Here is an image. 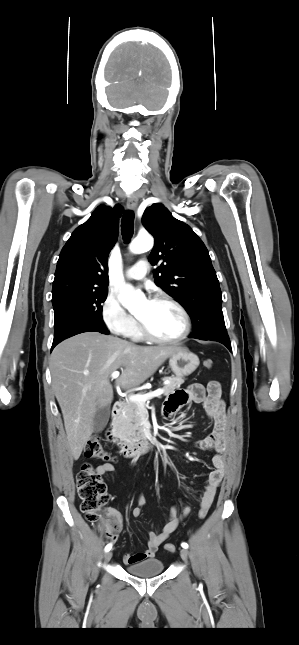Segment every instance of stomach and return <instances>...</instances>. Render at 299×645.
<instances>
[{
    "label": "stomach",
    "instance_id": "stomach-1",
    "mask_svg": "<svg viewBox=\"0 0 299 645\" xmlns=\"http://www.w3.org/2000/svg\"><path fill=\"white\" fill-rule=\"evenodd\" d=\"M169 365L176 376H189L199 366V358L189 350L181 349L169 357Z\"/></svg>",
    "mask_w": 299,
    "mask_h": 645
}]
</instances>
